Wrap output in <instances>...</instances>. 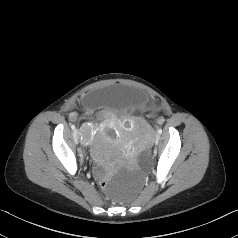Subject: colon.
Instances as JSON below:
<instances>
[{"instance_id":"colon-1","label":"colon","mask_w":238,"mask_h":238,"mask_svg":"<svg viewBox=\"0 0 238 238\" xmlns=\"http://www.w3.org/2000/svg\"><path fill=\"white\" fill-rule=\"evenodd\" d=\"M158 122L161 123L162 122V119L159 118L158 119ZM109 186V181L107 179H102L100 182H99V187L101 189H106L107 187Z\"/></svg>"}]
</instances>
